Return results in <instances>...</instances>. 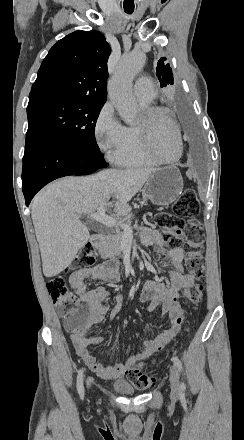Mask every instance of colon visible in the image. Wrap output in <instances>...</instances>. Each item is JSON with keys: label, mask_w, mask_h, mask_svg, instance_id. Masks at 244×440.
<instances>
[{"label": "colon", "mask_w": 244, "mask_h": 440, "mask_svg": "<svg viewBox=\"0 0 244 440\" xmlns=\"http://www.w3.org/2000/svg\"><path fill=\"white\" fill-rule=\"evenodd\" d=\"M200 208L193 189H187L180 200L175 204L172 213H159L156 223L163 229L167 244L177 249L183 247L186 258V267L192 277L197 280L194 286L184 292V297L193 303H200L204 298V286L202 281L205 276V268L202 257V243L204 228L198 220ZM80 257L75 260L74 272H87L88 259L94 257V248H81ZM46 287L55 304L57 314L64 318L69 329H82L85 323V314L89 312L88 304H78L76 296L69 290L65 280L61 277H48ZM144 365L139 363L129 372L128 381L143 386L153 377L143 373Z\"/></svg>", "instance_id": "obj_1"}]
</instances>
